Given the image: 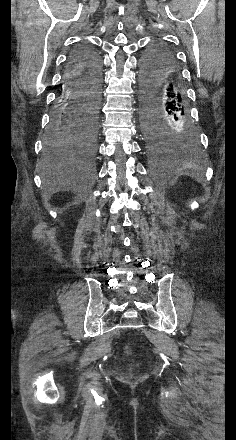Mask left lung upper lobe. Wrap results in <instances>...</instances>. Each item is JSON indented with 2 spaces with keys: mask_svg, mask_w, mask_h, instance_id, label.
Wrapping results in <instances>:
<instances>
[{
  "mask_svg": "<svg viewBox=\"0 0 236 440\" xmlns=\"http://www.w3.org/2000/svg\"><path fill=\"white\" fill-rule=\"evenodd\" d=\"M166 52H172L169 47L162 42H158L153 44L147 52L144 54L142 58V63H152L155 61L161 54Z\"/></svg>",
  "mask_w": 236,
  "mask_h": 440,
  "instance_id": "1",
  "label": "left lung upper lobe"
}]
</instances>
